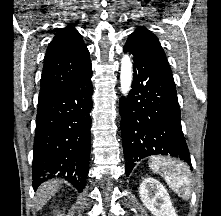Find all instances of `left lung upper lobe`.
Returning a JSON list of instances; mask_svg holds the SVG:
<instances>
[{
    "instance_id": "5c2ea615",
    "label": "left lung upper lobe",
    "mask_w": 221,
    "mask_h": 216,
    "mask_svg": "<svg viewBox=\"0 0 221 216\" xmlns=\"http://www.w3.org/2000/svg\"><path fill=\"white\" fill-rule=\"evenodd\" d=\"M126 43L135 45L149 54L156 55L166 60L164 50L157 37L145 27H138L129 35Z\"/></svg>"
}]
</instances>
